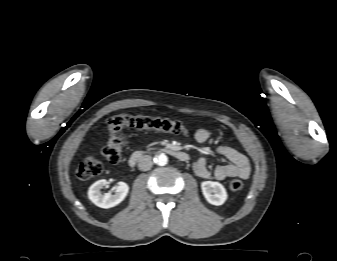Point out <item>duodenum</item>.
Segmentation results:
<instances>
[{
	"mask_svg": "<svg viewBox=\"0 0 337 261\" xmlns=\"http://www.w3.org/2000/svg\"><path fill=\"white\" fill-rule=\"evenodd\" d=\"M161 152L168 153L175 157L176 159L182 161V162H187L189 160V155L179 149L173 148V147H163L160 149ZM144 157V152L143 151H135L129 158V165L131 167H134L140 162Z\"/></svg>",
	"mask_w": 337,
	"mask_h": 261,
	"instance_id": "obj_1",
	"label": "duodenum"
}]
</instances>
